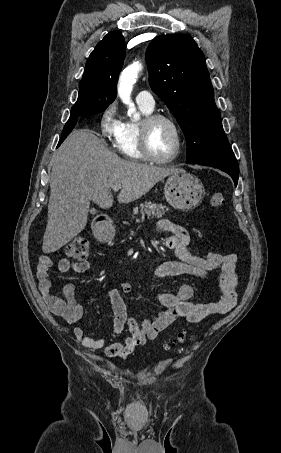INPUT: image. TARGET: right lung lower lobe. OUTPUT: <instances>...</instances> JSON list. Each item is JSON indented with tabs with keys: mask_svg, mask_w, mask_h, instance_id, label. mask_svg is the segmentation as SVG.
Here are the masks:
<instances>
[{
	"mask_svg": "<svg viewBox=\"0 0 281 453\" xmlns=\"http://www.w3.org/2000/svg\"><path fill=\"white\" fill-rule=\"evenodd\" d=\"M99 112L100 111L95 110L94 108L89 107V106L88 107H81V108H72L71 109L70 118L67 121V123H66V125H65V127L63 129V133L61 135V138L59 140V143H58L57 147H59L61 145L63 140L73 130V128L75 127L76 122H77L79 117H88V116L94 115V114L99 113Z\"/></svg>",
	"mask_w": 281,
	"mask_h": 453,
	"instance_id": "98d812e1",
	"label": "right lung lower lobe"
}]
</instances>
